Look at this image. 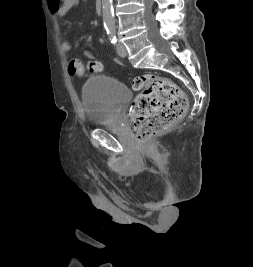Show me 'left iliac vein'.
Segmentation results:
<instances>
[{
    "label": "left iliac vein",
    "mask_w": 253,
    "mask_h": 267,
    "mask_svg": "<svg viewBox=\"0 0 253 267\" xmlns=\"http://www.w3.org/2000/svg\"><path fill=\"white\" fill-rule=\"evenodd\" d=\"M117 53L120 57L125 58L127 56L126 47L123 44H117Z\"/></svg>",
    "instance_id": "left-iliac-vein-1"
}]
</instances>
